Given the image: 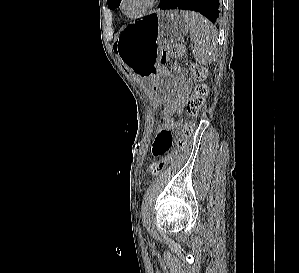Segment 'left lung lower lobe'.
<instances>
[{
  "instance_id": "1",
  "label": "left lung lower lobe",
  "mask_w": 299,
  "mask_h": 273,
  "mask_svg": "<svg viewBox=\"0 0 299 273\" xmlns=\"http://www.w3.org/2000/svg\"><path fill=\"white\" fill-rule=\"evenodd\" d=\"M160 9H183L201 13L212 23L219 17V0H161Z\"/></svg>"
}]
</instances>
